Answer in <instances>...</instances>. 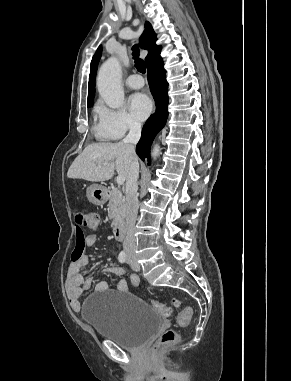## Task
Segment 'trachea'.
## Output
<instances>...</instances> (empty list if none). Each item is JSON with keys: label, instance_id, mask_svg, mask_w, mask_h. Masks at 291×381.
Instances as JSON below:
<instances>
[{"label": "trachea", "instance_id": "3493384b", "mask_svg": "<svg viewBox=\"0 0 291 381\" xmlns=\"http://www.w3.org/2000/svg\"><path fill=\"white\" fill-rule=\"evenodd\" d=\"M132 49H133V53H132L133 59L135 60V67L139 72L144 74L146 72V66H145V62L139 58L138 46L134 45Z\"/></svg>", "mask_w": 291, "mask_h": 381}]
</instances>
